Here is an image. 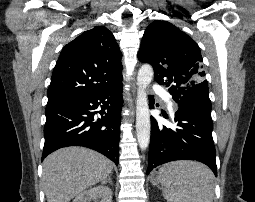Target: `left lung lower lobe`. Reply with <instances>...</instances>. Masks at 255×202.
Wrapping results in <instances>:
<instances>
[{
  "mask_svg": "<svg viewBox=\"0 0 255 202\" xmlns=\"http://www.w3.org/2000/svg\"><path fill=\"white\" fill-rule=\"evenodd\" d=\"M149 106L154 108L153 96H149ZM174 122L176 127L167 128L151 117L147 174L161 164L183 159L200 161L217 176L211 112L179 107Z\"/></svg>",
  "mask_w": 255,
  "mask_h": 202,
  "instance_id": "left-lung-lower-lobe-1",
  "label": "left lung lower lobe"
}]
</instances>
